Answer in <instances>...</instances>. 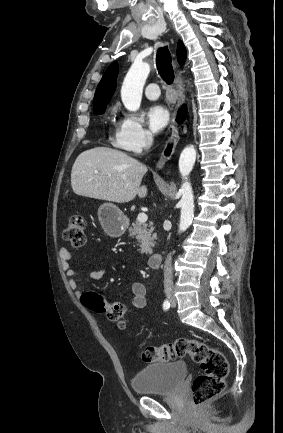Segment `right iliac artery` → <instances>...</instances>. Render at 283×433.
<instances>
[{
	"mask_svg": "<svg viewBox=\"0 0 283 433\" xmlns=\"http://www.w3.org/2000/svg\"><path fill=\"white\" fill-rule=\"evenodd\" d=\"M170 308V302L168 300H165L163 303V309L168 310Z\"/></svg>",
	"mask_w": 283,
	"mask_h": 433,
	"instance_id": "1",
	"label": "right iliac artery"
}]
</instances>
